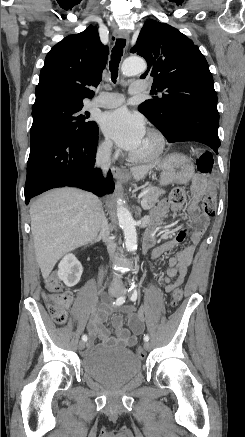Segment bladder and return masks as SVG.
Wrapping results in <instances>:
<instances>
[{
	"mask_svg": "<svg viewBox=\"0 0 245 437\" xmlns=\"http://www.w3.org/2000/svg\"><path fill=\"white\" fill-rule=\"evenodd\" d=\"M81 365L87 375L112 386L128 383L141 370V360L128 349L96 348L83 356Z\"/></svg>",
	"mask_w": 245,
	"mask_h": 437,
	"instance_id": "1",
	"label": "bladder"
}]
</instances>
